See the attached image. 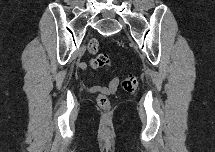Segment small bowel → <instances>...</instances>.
I'll return each instance as SVG.
<instances>
[{"instance_id":"obj_1","label":"small bowel","mask_w":215,"mask_h":152,"mask_svg":"<svg viewBox=\"0 0 215 152\" xmlns=\"http://www.w3.org/2000/svg\"><path fill=\"white\" fill-rule=\"evenodd\" d=\"M118 85L119 79L113 78L108 86L105 85L88 86L84 84L83 87L87 92L90 93H111L117 89Z\"/></svg>"}]
</instances>
